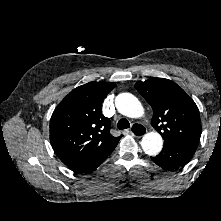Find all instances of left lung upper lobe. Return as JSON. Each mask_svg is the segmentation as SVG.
<instances>
[{
	"mask_svg": "<svg viewBox=\"0 0 221 221\" xmlns=\"http://www.w3.org/2000/svg\"><path fill=\"white\" fill-rule=\"evenodd\" d=\"M135 88L152 107L151 124L162 135L164 144L199 141L198 107L180 86L168 79L150 78L137 82Z\"/></svg>",
	"mask_w": 221,
	"mask_h": 221,
	"instance_id": "5c2ea615",
	"label": "left lung upper lobe"
}]
</instances>
